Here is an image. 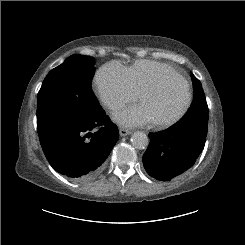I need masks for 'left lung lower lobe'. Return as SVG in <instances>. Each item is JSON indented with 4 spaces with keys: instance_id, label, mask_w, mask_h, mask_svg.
<instances>
[{
    "instance_id": "obj_1",
    "label": "left lung lower lobe",
    "mask_w": 245,
    "mask_h": 245,
    "mask_svg": "<svg viewBox=\"0 0 245 245\" xmlns=\"http://www.w3.org/2000/svg\"><path fill=\"white\" fill-rule=\"evenodd\" d=\"M206 136L195 130L171 127L149 133L150 144L143 155L146 171L162 181H169L183 174L200 156Z\"/></svg>"
}]
</instances>
